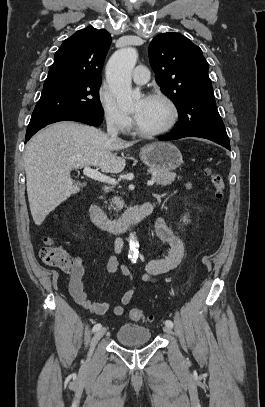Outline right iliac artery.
<instances>
[{
	"instance_id": "82829eb1",
	"label": "right iliac artery",
	"mask_w": 265,
	"mask_h": 407,
	"mask_svg": "<svg viewBox=\"0 0 265 407\" xmlns=\"http://www.w3.org/2000/svg\"><path fill=\"white\" fill-rule=\"evenodd\" d=\"M101 327H102L101 324L98 323V324L94 325L92 331H93V332H96V331H98L99 329H101Z\"/></svg>"
}]
</instances>
